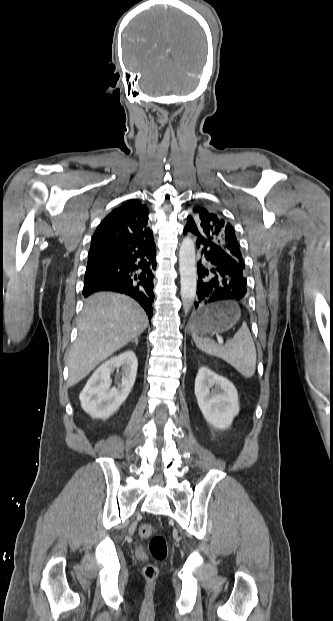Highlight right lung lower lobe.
I'll return each instance as SVG.
<instances>
[{
  "label": "right lung lower lobe",
  "instance_id": "1",
  "mask_svg": "<svg viewBox=\"0 0 333 621\" xmlns=\"http://www.w3.org/2000/svg\"><path fill=\"white\" fill-rule=\"evenodd\" d=\"M155 244L140 251L103 250L89 253L84 278L85 297L97 291L129 295L152 317Z\"/></svg>",
  "mask_w": 333,
  "mask_h": 621
}]
</instances>
